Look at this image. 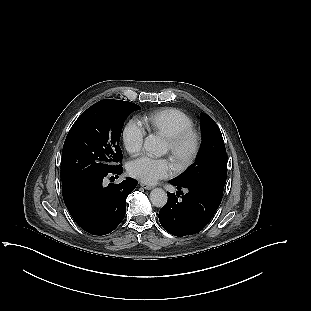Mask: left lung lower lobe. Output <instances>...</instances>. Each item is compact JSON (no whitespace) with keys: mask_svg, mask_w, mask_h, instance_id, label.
<instances>
[{"mask_svg":"<svg viewBox=\"0 0 311 311\" xmlns=\"http://www.w3.org/2000/svg\"><path fill=\"white\" fill-rule=\"evenodd\" d=\"M177 189L188 188L189 192L178 199L181 191L167 192V204L159 212L163 228L175 236L192 235L201 231L211 220L219 207L222 196L197 185H182L173 179L169 181Z\"/></svg>","mask_w":311,"mask_h":311,"instance_id":"0a47b994","label":"left lung lower lobe"}]
</instances>
